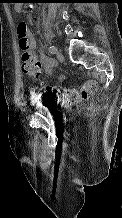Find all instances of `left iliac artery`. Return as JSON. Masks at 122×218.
I'll return each mask as SVG.
<instances>
[{"label": "left iliac artery", "mask_w": 122, "mask_h": 218, "mask_svg": "<svg viewBox=\"0 0 122 218\" xmlns=\"http://www.w3.org/2000/svg\"><path fill=\"white\" fill-rule=\"evenodd\" d=\"M49 52H50L51 54H55V53L57 52V48H56L55 46H50V47H49Z\"/></svg>", "instance_id": "obj_1"}]
</instances>
